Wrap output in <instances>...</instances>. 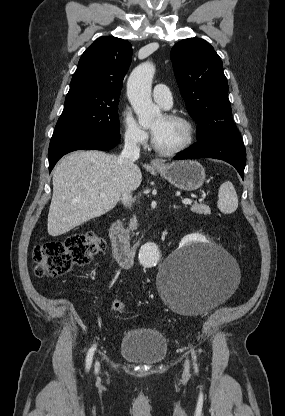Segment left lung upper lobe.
I'll return each instance as SVG.
<instances>
[{"mask_svg":"<svg viewBox=\"0 0 285 416\" xmlns=\"http://www.w3.org/2000/svg\"><path fill=\"white\" fill-rule=\"evenodd\" d=\"M171 60L187 110L198 123V140L237 129L231 118L222 61L214 48L203 39H184L172 47Z\"/></svg>","mask_w":285,"mask_h":416,"instance_id":"obj_1","label":"left lung upper lobe"}]
</instances>
